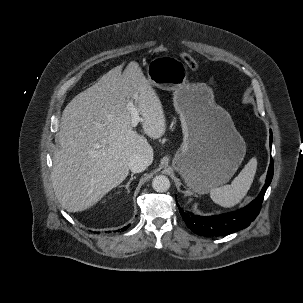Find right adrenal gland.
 <instances>
[{"instance_id": "obj_1", "label": "right adrenal gland", "mask_w": 303, "mask_h": 303, "mask_svg": "<svg viewBox=\"0 0 303 303\" xmlns=\"http://www.w3.org/2000/svg\"><path fill=\"white\" fill-rule=\"evenodd\" d=\"M135 178H136V177L133 176V174H132V175H131V178H130L129 181H128V183H127L126 185H121L120 187H125L126 190H127V193H129V192H130L129 185H130L131 181L134 180Z\"/></svg>"}]
</instances>
